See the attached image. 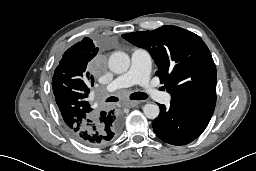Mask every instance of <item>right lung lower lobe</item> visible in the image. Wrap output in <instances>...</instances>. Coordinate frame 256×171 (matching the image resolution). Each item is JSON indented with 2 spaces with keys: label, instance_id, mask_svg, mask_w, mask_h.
<instances>
[{
  "label": "right lung lower lobe",
  "instance_id": "1",
  "mask_svg": "<svg viewBox=\"0 0 256 171\" xmlns=\"http://www.w3.org/2000/svg\"><path fill=\"white\" fill-rule=\"evenodd\" d=\"M121 116L115 110H105L98 113L94 129H86L74 134L81 142L96 146L110 142L120 131Z\"/></svg>",
  "mask_w": 256,
  "mask_h": 171
}]
</instances>
